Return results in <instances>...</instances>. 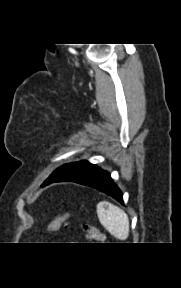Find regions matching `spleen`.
I'll return each instance as SVG.
<instances>
[{
	"instance_id": "1",
	"label": "spleen",
	"mask_w": 181,
	"mask_h": 288,
	"mask_svg": "<svg viewBox=\"0 0 181 288\" xmlns=\"http://www.w3.org/2000/svg\"><path fill=\"white\" fill-rule=\"evenodd\" d=\"M97 215L103 227L115 238L119 240L128 238L129 219L121 208L107 201H101L97 204Z\"/></svg>"
}]
</instances>
